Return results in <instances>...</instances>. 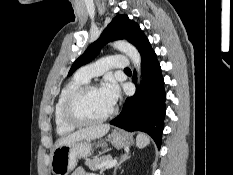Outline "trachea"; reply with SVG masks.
<instances>
[{"label": "trachea", "mask_w": 233, "mask_h": 175, "mask_svg": "<svg viewBox=\"0 0 233 175\" xmlns=\"http://www.w3.org/2000/svg\"><path fill=\"white\" fill-rule=\"evenodd\" d=\"M124 70H125V71H130V68H125Z\"/></svg>", "instance_id": "obj_1"}]
</instances>
